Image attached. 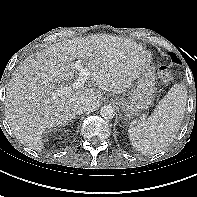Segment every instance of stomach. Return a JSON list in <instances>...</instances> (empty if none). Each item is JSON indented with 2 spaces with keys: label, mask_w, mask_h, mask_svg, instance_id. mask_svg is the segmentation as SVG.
Segmentation results:
<instances>
[{
  "label": "stomach",
  "mask_w": 197,
  "mask_h": 197,
  "mask_svg": "<svg viewBox=\"0 0 197 197\" xmlns=\"http://www.w3.org/2000/svg\"><path fill=\"white\" fill-rule=\"evenodd\" d=\"M156 90L154 68L150 63H146L127 97L119 98L117 103L125 117L130 119L139 116L153 104Z\"/></svg>",
  "instance_id": "obj_1"
}]
</instances>
